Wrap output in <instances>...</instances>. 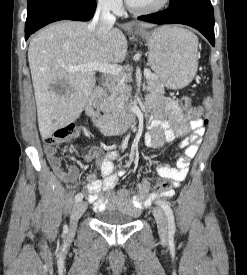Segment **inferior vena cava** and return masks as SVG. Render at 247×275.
<instances>
[{
  "instance_id": "inferior-vena-cava-1",
  "label": "inferior vena cava",
  "mask_w": 247,
  "mask_h": 275,
  "mask_svg": "<svg viewBox=\"0 0 247 275\" xmlns=\"http://www.w3.org/2000/svg\"><path fill=\"white\" fill-rule=\"evenodd\" d=\"M116 21V17L110 13V5L106 0H99L98 6L92 22L88 25L89 30H93L97 37L105 39ZM110 79L106 77L104 85H109Z\"/></svg>"
}]
</instances>
